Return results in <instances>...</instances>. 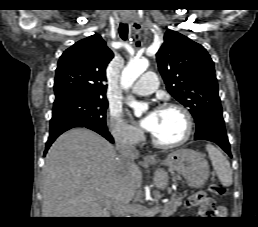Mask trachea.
<instances>
[{
  "label": "trachea",
  "instance_id": "1",
  "mask_svg": "<svg viewBox=\"0 0 258 227\" xmlns=\"http://www.w3.org/2000/svg\"><path fill=\"white\" fill-rule=\"evenodd\" d=\"M119 34H120V37L123 40L127 39V37H128V25L127 24H123V23L120 24V26H119Z\"/></svg>",
  "mask_w": 258,
  "mask_h": 227
}]
</instances>
